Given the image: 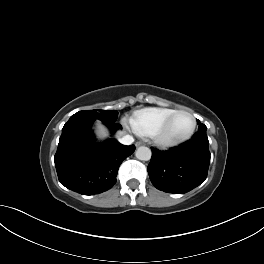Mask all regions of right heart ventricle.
<instances>
[{"instance_id": "e07e8e85", "label": "right heart ventricle", "mask_w": 264, "mask_h": 264, "mask_svg": "<svg viewBox=\"0 0 264 264\" xmlns=\"http://www.w3.org/2000/svg\"><path fill=\"white\" fill-rule=\"evenodd\" d=\"M176 109L150 107L135 111L130 119L133 130L140 136L151 137Z\"/></svg>"}]
</instances>
